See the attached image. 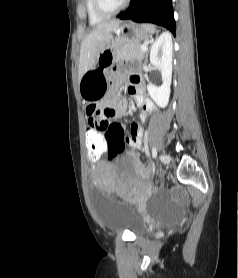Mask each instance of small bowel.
Returning <instances> with one entry per match:
<instances>
[{
    "label": "small bowel",
    "instance_id": "1",
    "mask_svg": "<svg viewBox=\"0 0 238 278\" xmlns=\"http://www.w3.org/2000/svg\"><path fill=\"white\" fill-rule=\"evenodd\" d=\"M124 79V74L117 73L112 81L113 89H117ZM129 93L134 97L137 105L142 108L139 121L131 124L129 128V136H125V128L121 124L112 121V118L121 117L127 111V102L118 100L116 94L108 93L107 98L100 103L93 102L88 104L86 112L88 115V130H97L99 137H105L108 141L109 137H122L125 144L131 148L139 149L143 144V127L142 123L146 120L149 112L154 111V105L144 96V86L142 78L137 73L128 75ZM106 113H114L108 116ZM118 127H113V126ZM136 170H141V165L136 160Z\"/></svg>",
    "mask_w": 238,
    "mask_h": 278
}]
</instances>
